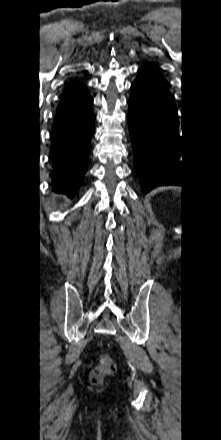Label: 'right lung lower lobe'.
<instances>
[{
	"mask_svg": "<svg viewBox=\"0 0 221 440\" xmlns=\"http://www.w3.org/2000/svg\"><path fill=\"white\" fill-rule=\"evenodd\" d=\"M93 99L85 85L70 84L57 108L53 129L52 157L55 191L73 197L86 172L90 139L94 133Z\"/></svg>",
	"mask_w": 221,
	"mask_h": 440,
	"instance_id": "right-lung-lower-lobe-1",
	"label": "right lung lower lobe"
}]
</instances>
